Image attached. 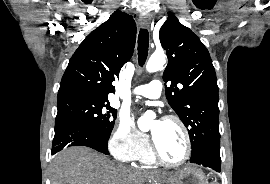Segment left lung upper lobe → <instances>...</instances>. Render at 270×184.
<instances>
[{
	"instance_id": "obj_1",
	"label": "left lung upper lobe",
	"mask_w": 270,
	"mask_h": 184,
	"mask_svg": "<svg viewBox=\"0 0 270 184\" xmlns=\"http://www.w3.org/2000/svg\"><path fill=\"white\" fill-rule=\"evenodd\" d=\"M159 39L168 56L163 73L166 98L188 128L191 157L202 146H220L218 86L208 50L172 14L162 25Z\"/></svg>"
}]
</instances>
